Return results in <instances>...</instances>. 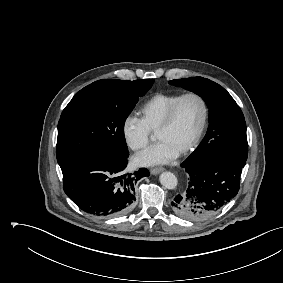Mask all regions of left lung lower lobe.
Wrapping results in <instances>:
<instances>
[{"mask_svg": "<svg viewBox=\"0 0 283 283\" xmlns=\"http://www.w3.org/2000/svg\"><path fill=\"white\" fill-rule=\"evenodd\" d=\"M246 160L216 156L181 166L190 175L186 192L171 202L175 214L185 220L201 221L215 215L237 195Z\"/></svg>", "mask_w": 283, "mask_h": 283, "instance_id": "left-lung-lower-lobe-1", "label": "left lung lower lobe"}]
</instances>
